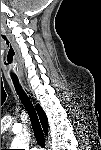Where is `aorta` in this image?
Wrapping results in <instances>:
<instances>
[{
    "mask_svg": "<svg viewBox=\"0 0 101 150\" xmlns=\"http://www.w3.org/2000/svg\"><path fill=\"white\" fill-rule=\"evenodd\" d=\"M30 134L25 131L24 133L18 134L12 141L11 149H25L29 148Z\"/></svg>",
    "mask_w": 101,
    "mask_h": 150,
    "instance_id": "aorta-1",
    "label": "aorta"
}]
</instances>
